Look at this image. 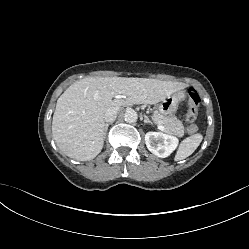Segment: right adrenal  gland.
Masks as SVG:
<instances>
[{"label":"right adrenal gland","instance_id":"2a0ac1e0","mask_svg":"<svg viewBox=\"0 0 249 249\" xmlns=\"http://www.w3.org/2000/svg\"><path fill=\"white\" fill-rule=\"evenodd\" d=\"M111 124H112V122H109V123H106V124H105L104 135H106L107 130H108V127H109V125H111Z\"/></svg>","mask_w":249,"mask_h":249}]
</instances>
